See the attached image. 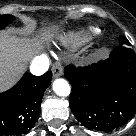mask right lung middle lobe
<instances>
[{
	"label": "right lung middle lobe",
	"instance_id": "1",
	"mask_svg": "<svg viewBox=\"0 0 136 136\" xmlns=\"http://www.w3.org/2000/svg\"><path fill=\"white\" fill-rule=\"evenodd\" d=\"M14 17L12 15H1L0 16V29H2L9 22L13 21Z\"/></svg>",
	"mask_w": 136,
	"mask_h": 136
}]
</instances>
